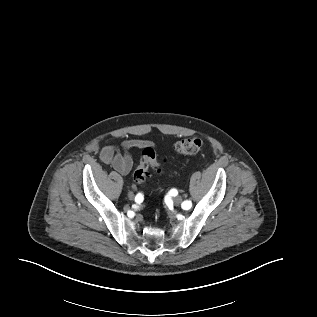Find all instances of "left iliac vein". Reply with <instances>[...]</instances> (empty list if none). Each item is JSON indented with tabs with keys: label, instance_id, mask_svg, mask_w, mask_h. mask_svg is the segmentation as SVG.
I'll return each instance as SVG.
<instances>
[{
	"label": "left iliac vein",
	"instance_id": "obj_1",
	"mask_svg": "<svg viewBox=\"0 0 317 317\" xmlns=\"http://www.w3.org/2000/svg\"><path fill=\"white\" fill-rule=\"evenodd\" d=\"M173 202H174V204L175 205H180L181 203H182V197L181 196H175L174 198H173Z\"/></svg>",
	"mask_w": 317,
	"mask_h": 317
}]
</instances>
